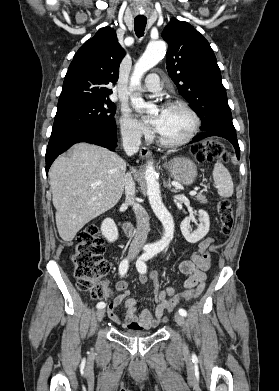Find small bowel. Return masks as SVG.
Instances as JSON below:
<instances>
[{"label":"small bowel","instance_id":"small-bowel-1","mask_svg":"<svg viewBox=\"0 0 279 391\" xmlns=\"http://www.w3.org/2000/svg\"><path fill=\"white\" fill-rule=\"evenodd\" d=\"M213 242V239L208 237L202 240L198 245V252L193 253L189 260H182L179 263V270L184 275H187V279L183 283V288L195 289L196 294L194 297L199 296L204 287L206 281V271L211 266L210 261H206L203 258V253L207 251L208 247ZM151 280L156 286V305L154 311L144 309L140 314L137 313V300L133 297H129L130 291L126 281H119L116 284V291L118 296L109 304L107 313L109 318L122 328L131 330H149L160 323L165 321V310L168 303V298L175 295V291L172 287L159 290V278L157 273H152ZM147 281L145 276L140 277V282L145 283ZM124 304L125 313L122 318L116 314V308L121 304Z\"/></svg>","mask_w":279,"mask_h":391}]
</instances>
